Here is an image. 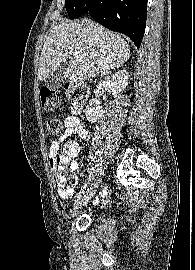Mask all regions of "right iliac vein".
Returning <instances> with one entry per match:
<instances>
[{"mask_svg": "<svg viewBox=\"0 0 195 270\" xmlns=\"http://www.w3.org/2000/svg\"><path fill=\"white\" fill-rule=\"evenodd\" d=\"M100 182H101L100 179L94 182L90 186V188L87 190V192L75 201L73 205L72 213H71V218L76 216L81 206L88 202L89 198L93 195L95 189L99 186Z\"/></svg>", "mask_w": 195, "mask_h": 270, "instance_id": "1", "label": "right iliac vein"}]
</instances>
